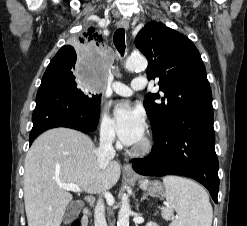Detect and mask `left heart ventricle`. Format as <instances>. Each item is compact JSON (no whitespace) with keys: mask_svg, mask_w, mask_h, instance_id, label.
I'll use <instances>...</instances> for the list:
<instances>
[{"mask_svg":"<svg viewBox=\"0 0 247 226\" xmlns=\"http://www.w3.org/2000/svg\"><path fill=\"white\" fill-rule=\"evenodd\" d=\"M142 141H143V139L140 142H138L135 146H138Z\"/></svg>","mask_w":247,"mask_h":226,"instance_id":"obj_1","label":"left heart ventricle"}]
</instances>
